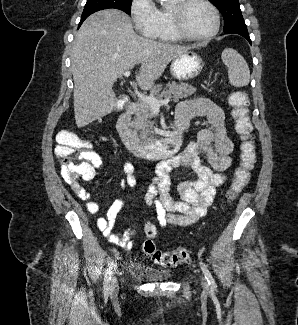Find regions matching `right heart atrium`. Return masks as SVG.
Segmentation results:
<instances>
[{
	"instance_id": "1",
	"label": "right heart atrium",
	"mask_w": 298,
	"mask_h": 325,
	"mask_svg": "<svg viewBox=\"0 0 298 325\" xmlns=\"http://www.w3.org/2000/svg\"><path fill=\"white\" fill-rule=\"evenodd\" d=\"M130 15L139 37H147V41H162L163 30L157 24L156 9L150 0H134L130 8Z\"/></svg>"
}]
</instances>
